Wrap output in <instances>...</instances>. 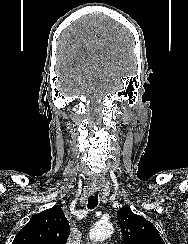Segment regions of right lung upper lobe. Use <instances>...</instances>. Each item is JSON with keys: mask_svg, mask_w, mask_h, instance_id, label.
I'll list each match as a JSON object with an SVG mask.
<instances>
[{"mask_svg": "<svg viewBox=\"0 0 188 244\" xmlns=\"http://www.w3.org/2000/svg\"><path fill=\"white\" fill-rule=\"evenodd\" d=\"M70 226L63 210L54 206L34 215L12 244H65Z\"/></svg>", "mask_w": 188, "mask_h": 244, "instance_id": "right-lung-upper-lobe-1", "label": "right lung upper lobe"}]
</instances>
